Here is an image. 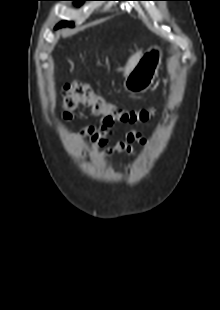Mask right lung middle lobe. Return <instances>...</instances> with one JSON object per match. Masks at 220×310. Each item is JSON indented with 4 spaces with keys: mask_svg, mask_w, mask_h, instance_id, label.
Masks as SVG:
<instances>
[{
    "mask_svg": "<svg viewBox=\"0 0 220 310\" xmlns=\"http://www.w3.org/2000/svg\"><path fill=\"white\" fill-rule=\"evenodd\" d=\"M71 1H77V5L80 6L84 1H87V0H71ZM65 26L73 27L74 23L63 21V22H60L55 28L57 29V28L65 27Z\"/></svg>",
    "mask_w": 220,
    "mask_h": 310,
    "instance_id": "right-lung-middle-lobe-1",
    "label": "right lung middle lobe"
}]
</instances>
